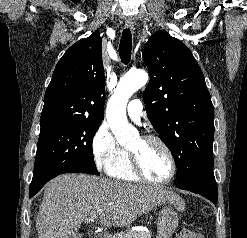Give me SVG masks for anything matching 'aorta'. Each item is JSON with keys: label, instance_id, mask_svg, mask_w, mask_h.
I'll use <instances>...</instances> for the list:
<instances>
[{"label": "aorta", "instance_id": "762f6f07", "mask_svg": "<svg viewBox=\"0 0 247 238\" xmlns=\"http://www.w3.org/2000/svg\"><path fill=\"white\" fill-rule=\"evenodd\" d=\"M148 82V74L139 70L127 73L118 83V86L109 100L106 117L110 129L120 145H126L137 135L136 129L131 126L126 117V106L129 98Z\"/></svg>", "mask_w": 247, "mask_h": 238}]
</instances>
